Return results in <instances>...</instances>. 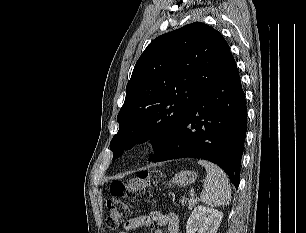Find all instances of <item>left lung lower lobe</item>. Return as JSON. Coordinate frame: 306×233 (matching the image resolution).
<instances>
[{
    "mask_svg": "<svg viewBox=\"0 0 306 233\" xmlns=\"http://www.w3.org/2000/svg\"><path fill=\"white\" fill-rule=\"evenodd\" d=\"M246 131L244 91L230 52L166 146L150 161L202 158L224 169L237 188Z\"/></svg>",
    "mask_w": 306,
    "mask_h": 233,
    "instance_id": "0a47b994",
    "label": "left lung lower lobe"
}]
</instances>
